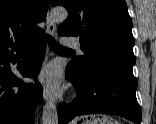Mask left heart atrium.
I'll use <instances>...</instances> for the list:
<instances>
[{
    "instance_id": "1",
    "label": "left heart atrium",
    "mask_w": 156,
    "mask_h": 124,
    "mask_svg": "<svg viewBox=\"0 0 156 124\" xmlns=\"http://www.w3.org/2000/svg\"><path fill=\"white\" fill-rule=\"evenodd\" d=\"M40 80L52 91H58L60 89V71L55 64L46 66L41 74Z\"/></svg>"
}]
</instances>
